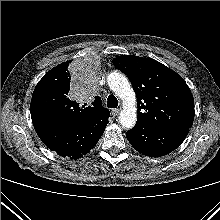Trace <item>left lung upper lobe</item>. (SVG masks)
Wrapping results in <instances>:
<instances>
[{"mask_svg": "<svg viewBox=\"0 0 220 220\" xmlns=\"http://www.w3.org/2000/svg\"><path fill=\"white\" fill-rule=\"evenodd\" d=\"M136 92L137 122L154 127H191L194 99L183 78L164 64L150 58L123 55L113 59Z\"/></svg>", "mask_w": 220, "mask_h": 220, "instance_id": "obj_1", "label": "left lung upper lobe"}]
</instances>
